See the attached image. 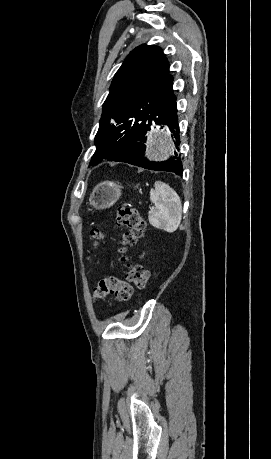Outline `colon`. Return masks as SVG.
Instances as JSON below:
<instances>
[{"label": "colon", "mask_w": 271, "mask_h": 459, "mask_svg": "<svg viewBox=\"0 0 271 459\" xmlns=\"http://www.w3.org/2000/svg\"><path fill=\"white\" fill-rule=\"evenodd\" d=\"M116 222L125 228L120 240L118 261L126 263V278L128 282L121 280L115 275L102 277L92 292V297L95 301L103 300L108 295H112L122 302L129 301L133 294L131 284L139 289H144L149 279L148 271L141 265L128 262L125 255L127 247L134 245L143 235L145 229L143 217L137 209L124 207L118 211ZM90 234L94 247H98L104 236L101 227L97 226L93 228Z\"/></svg>", "instance_id": "1"}]
</instances>
